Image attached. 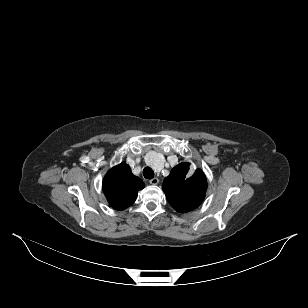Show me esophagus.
I'll return each instance as SVG.
<instances>
[{"label": "esophagus", "instance_id": "esophagus-1", "mask_svg": "<svg viewBox=\"0 0 308 308\" xmlns=\"http://www.w3.org/2000/svg\"><path fill=\"white\" fill-rule=\"evenodd\" d=\"M149 183L151 184V185H157L158 183H159V179L158 178H152L150 181H149Z\"/></svg>", "mask_w": 308, "mask_h": 308}]
</instances>
